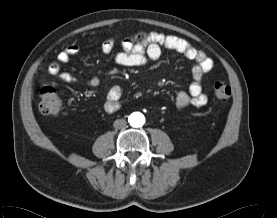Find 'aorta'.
<instances>
[{
    "label": "aorta",
    "instance_id": "1",
    "mask_svg": "<svg viewBox=\"0 0 277 218\" xmlns=\"http://www.w3.org/2000/svg\"><path fill=\"white\" fill-rule=\"evenodd\" d=\"M129 123L133 127H141L145 123V117L140 112H134L129 116Z\"/></svg>",
    "mask_w": 277,
    "mask_h": 218
}]
</instances>
